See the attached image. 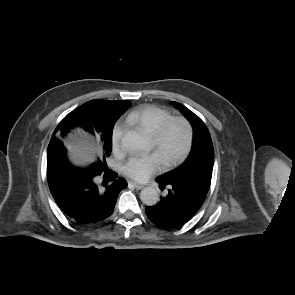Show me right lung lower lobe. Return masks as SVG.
<instances>
[{
	"label": "right lung lower lobe",
	"instance_id": "98d812e1",
	"mask_svg": "<svg viewBox=\"0 0 295 295\" xmlns=\"http://www.w3.org/2000/svg\"><path fill=\"white\" fill-rule=\"evenodd\" d=\"M47 179L60 209L80 226H92L109 217L118 194L127 186L126 180L106 165L72 167L58 141H50L48 146Z\"/></svg>",
	"mask_w": 295,
	"mask_h": 295
}]
</instances>
